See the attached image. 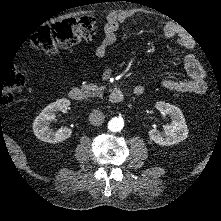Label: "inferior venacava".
Segmentation results:
<instances>
[{"instance_id":"1","label":"inferior vena cava","mask_w":221,"mask_h":221,"mask_svg":"<svg viewBox=\"0 0 221 221\" xmlns=\"http://www.w3.org/2000/svg\"><path fill=\"white\" fill-rule=\"evenodd\" d=\"M105 121V115L100 110H94L90 113L89 122L93 126H101Z\"/></svg>"}]
</instances>
